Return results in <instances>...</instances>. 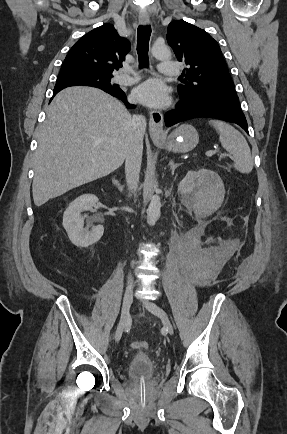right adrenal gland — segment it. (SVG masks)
Returning <instances> with one entry per match:
<instances>
[{"mask_svg": "<svg viewBox=\"0 0 287 434\" xmlns=\"http://www.w3.org/2000/svg\"><path fill=\"white\" fill-rule=\"evenodd\" d=\"M116 184L120 189H123L124 186H121L118 182H116Z\"/></svg>", "mask_w": 287, "mask_h": 434, "instance_id": "2a0ac1e0", "label": "right adrenal gland"}]
</instances>
